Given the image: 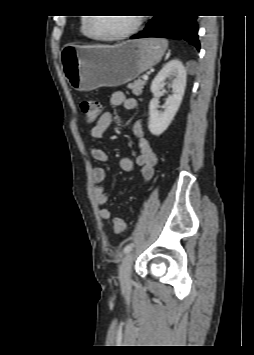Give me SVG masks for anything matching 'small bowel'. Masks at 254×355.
<instances>
[{
	"label": "small bowel",
	"mask_w": 254,
	"mask_h": 355,
	"mask_svg": "<svg viewBox=\"0 0 254 355\" xmlns=\"http://www.w3.org/2000/svg\"><path fill=\"white\" fill-rule=\"evenodd\" d=\"M110 103L113 106H123L127 110H134L137 101L134 98H128L121 91H116L111 95ZM112 121V115L108 112L103 113L96 123L91 127L89 135L93 141L99 140ZM134 136L138 140L139 154L135 158L122 157L119 159V167L126 172L134 169L135 165L140 167L141 178L144 182L152 179L157 164V155L154 152L150 139L146 136L143 125L137 121L132 126ZM92 156L100 162L110 161L109 156L99 147H93ZM106 179V170L103 167H94L92 169V180L96 183L93 187V195L98 205L104 206L108 202V195L105 188L100 185ZM99 216L106 220L109 219L111 213L106 208H101Z\"/></svg>",
	"instance_id": "1"
}]
</instances>
